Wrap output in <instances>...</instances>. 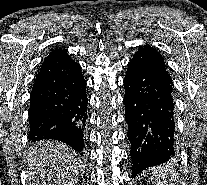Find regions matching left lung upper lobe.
<instances>
[{"instance_id": "left-lung-upper-lobe-1", "label": "left lung upper lobe", "mask_w": 207, "mask_h": 185, "mask_svg": "<svg viewBox=\"0 0 207 185\" xmlns=\"http://www.w3.org/2000/svg\"><path fill=\"white\" fill-rule=\"evenodd\" d=\"M128 66L130 68H142L152 73L158 74L173 84L171 77L166 70L163 57L149 45L139 47L134 57L130 60Z\"/></svg>"}]
</instances>
